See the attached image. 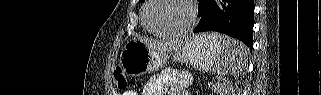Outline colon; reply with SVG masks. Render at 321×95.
Instances as JSON below:
<instances>
[{
	"instance_id": "1",
	"label": "colon",
	"mask_w": 321,
	"mask_h": 95,
	"mask_svg": "<svg viewBox=\"0 0 321 95\" xmlns=\"http://www.w3.org/2000/svg\"><path fill=\"white\" fill-rule=\"evenodd\" d=\"M113 77H114V83L118 90H124L127 87L126 77L120 67H117L114 70Z\"/></svg>"
}]
</instances>
